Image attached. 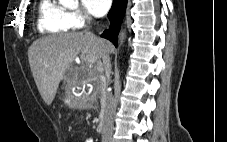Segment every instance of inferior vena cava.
Instances as JSON below:
<instances>
[{"label": "inferior vena cava", "mask_w": 227, "mask_h": 142, "mask_svg": "<svg viewBox=\"0 0 227 142\" xmlns=\"http://www.w3.org/2000/svg\"><path fill=\"white\" fill-rule=\"evenodd\" d=\"M86 34L93 35L88 29L85 30ZM103 65H100L101 72L105 73L106 80L110 79L111 63L109 55H104L102 57ZM106 80L103 81V87L106 88ZM116 108V99L113 97L112 93H106V104L104 109V119H103V130H102V142H112V136L114 131V120L113 115Z\"/></svg>", "instance_id": "obj_1"}]
</instances>
